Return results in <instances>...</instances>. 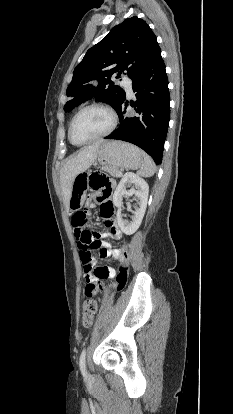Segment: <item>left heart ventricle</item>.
<instances>
[{
  "instance_id": "1",
  "label": "left heart ventricle",
  "mask_w": 233,
  "mask_h": 414,
  "mask_svg": "<svg viewBox=\"0 0 233 414\" xmlns=\"http://www.w3.org/2000/svg\"><path fill=\"white\" fill-rule=\"evenodd\" d=\"M108 115L99 109H89L81 113L76 119L72 137L75 142L89 140L104 132L109 126Z\"/></svg>"
}]
</instances>
